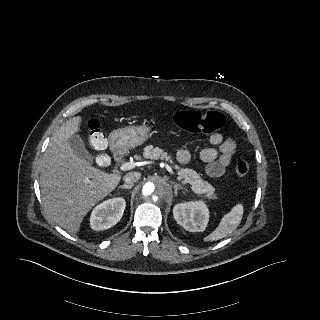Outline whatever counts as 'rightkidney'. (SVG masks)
<instances>
[{"label":"right kidney","instance_id":"obj_1","mask_svg":"<svg viewBox=\"0 0 320 320\" xmlns=\"http://www.w3.org/2000/svg\"><path fill=\"white\" fill-rule=\"evenodd\" d=\"M125 207L126 202L120 197L103 201L91 213V228L101 231L113 227L122 218Z\"/></svg>","mask_w":320,"mask_h":320}]
</instances>
